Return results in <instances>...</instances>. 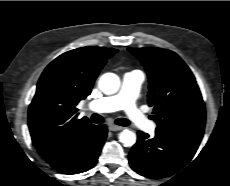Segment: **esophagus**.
Returning <instances> with one entry per match:
<instances>
[{"label":"esophagus","mask_w":230,"mask_h":186,"mask_svg":"<svg viewBox=\"0 0 230 186\" xmlns=\"http://www.w3.org/2000/svg\"><path fill=\"white\" fill-rule=\"evenodd\" d=\"M124 127H121V126H117V125H109V130L110 131H120V130H123Z\"/></svg>","instance_id":"1"}]
</instances>
